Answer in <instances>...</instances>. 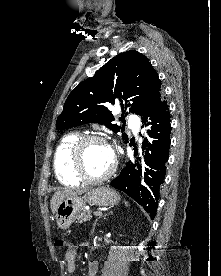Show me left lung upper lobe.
I'll list each match as a JSON object with an SVG mask.
<instances>
[{"mask_svg":"<svg viewBox=\"0 0 221 276\" xmlns=\"http://www.w3.org/2000/svg\"><path fill=\"white\" fill-rule=\"evenodd\" d=\"M162 98L157 72L147 57L130 50L112 58L69 94L56 128L69 129L93 122L113 132H123V128L114 123L115 118L108 109L110 105H121L119 120L123 121L127 107L131 106L130 112L144 118ZM122 137L127 143L128 136L123 133Z\"/></svg>","mask_w":221,"mask_h":276,"instance_id":"obj_1","label":"left lung upper lobe"}]
</instances>
